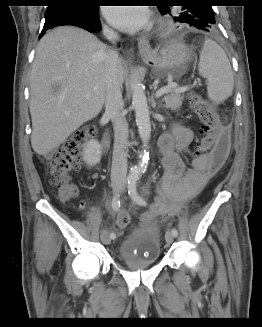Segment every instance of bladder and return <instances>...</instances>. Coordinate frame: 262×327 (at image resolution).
I'll use <instances>...</instances> for the list:
<instances>
[{
  "label": "bladder",
  "mask_w": 262,
  "mask_h": 327,
  "mask_svg": "<svg viewBox=\"0 0 262 327\" xmlns=\"http://www.w3.org/2000/svg\"><path fill=\"white\" fill-rule=\"evenodd\" d=\"M118 256L124 263L142 260L155 264L161 259V234L151 229H141L130 233L120 244Z\"/></svg>",
  "instance_id": "obj_1"
}]
</instances>
